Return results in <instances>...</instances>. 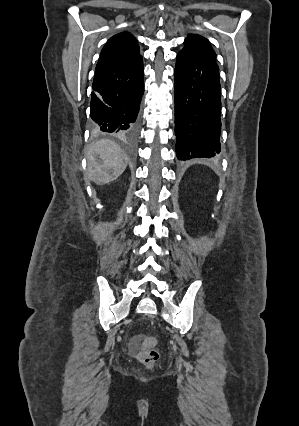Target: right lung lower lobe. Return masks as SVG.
<instances>
[{"label":"right lung lower lobe","mask_w":299,"mask_h":426,"mask_svg":"<svg viewBox=\"0 0 299 426\" xmlns=\"http://www.w3.org/2000/svg\"><path fill=\"white\" fill-rule=\"evenodd\" d=\"M90 109L95 128L135 138L144 93L142 56L96 68Z\"/></svg>","instance_id":"obj_1"}]
</instances>
